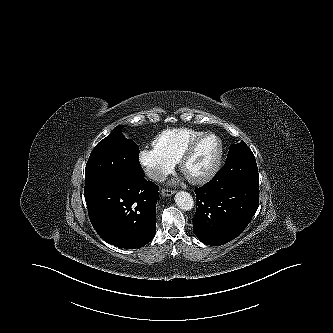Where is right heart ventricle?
<instances>
[{
	"mask_svg": "<svg viewBox=\"0 0 333 333\" xmlns=\"http://www.w3.org/2000/svg\"><path fill=\"white\" fill-rule=\"evenodd\" d=\"M203 133L189 128L165 130L154 139L153 148L176 163L187 146Z\"/></svg>",
	"mask_w": 333,
	"mask_h": 333,
	"instance_id": "right-heart-ventricle-1",
	"label": "right heart ventricle"
}]
</instances>
